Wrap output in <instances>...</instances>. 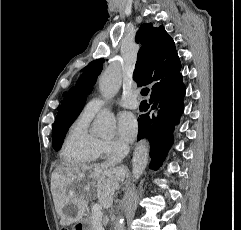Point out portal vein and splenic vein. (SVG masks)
<instances>
[{"instance_id":"18ae733b","label":"portal vein and splenic vein","mask_w":241,"mask_h":230,"mask_svg":"<svg viewBox=\"0 0 241 230\" xmlns=\"http://www.w3.org/2000/svg\"><path fill=\"white\" fill-rule=\"evenodd\" d=\"M103 204H110L109 201L107 200H102L101 201ZM102 204H96L93 206L92 208V219H93V223L98 227L101 228L102 227V217H103V213H102ZM102 230V229H99Z\"/></svg>"}]
</instances>
